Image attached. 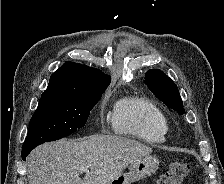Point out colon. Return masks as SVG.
Returning <instances> with one entry per match:
<instances>
[{"label": "colon", "mask_w": 224, "mask_h": 184, "mask_svg": "<svg viewBox=\"0 0 224 184\" xmlns=\"http://www.w3.org/2000/svg\"><path fill=\"white\" fill-rule=\"evenodd\" d=\"M190 173V166L185 162L174 161L158 179L157 184H182Z\"/></svg>", "instance_id": "5ec220e1"}]
</instances>
